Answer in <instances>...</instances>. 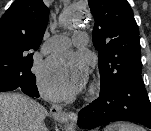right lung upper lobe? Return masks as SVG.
<instances>
[{"instance_id": "1", "label": "right lung upper lobe", "mask_w": 151, "mask_h": 131, "mask_svg": "<svg viewBox=\"0 0 151 131\" xmlns=\"http://www.w3.org/2000/svg\"><path fill=\"white\" fill-rule=\"evenodd\" d=\"M49 10L43 0H15L0 19V53L37 50Z\"/></svg>"}]
</instances>
